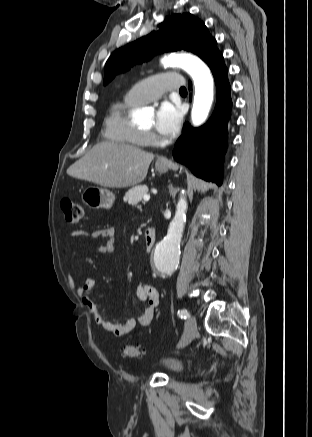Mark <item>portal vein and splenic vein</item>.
<instances>
[{
    "mask_svg": "<svg viewBox=\"0 0 312 437\" xmlns=\"http://www.w3.org/2000/svg\"><path fill=\"white\" fill-rule=\"evenodd\" d=\"M143 199H144L145 202H146V201H149L150 196H149V195H144Z\"/></svg>",
    "mask_w": 312,
    "mask_h": 437,
    "instance_id": "18ae733b",
    "label": "portal vein and splenic vein"
}]
</instances>
